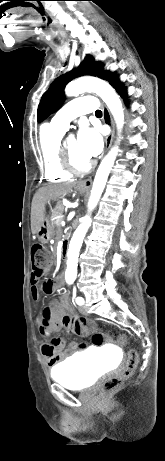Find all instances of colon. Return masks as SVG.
Returning a JSON list of instances; mask_svg holds the SVG:
<instances>
[{
  "instance_id": "obj_1",
  "label": "colon",
  "mask_w": 165,
  "mask_h": 461,
  "mask_svg": "<svg viewBox=\"0 0 165 461\" xmlns=\"http://www.w3.org/2000/svg\"><path fill=\"white\" fill-rule=\"evenodd\" d=\"M50 259L49 252L42 244H35L32 247V279L38 281L42 278L44 271L49 267ZM97 332V331H95ZM111 335L112 333L109 332ZM119 344L125 345L128 341L127 336L121 334L117 338ZM84 352V351H83ZM138 353L131 349L128 352L126 365L120 373L115 376L106 378L101 386L103 395H108L120 388L122 383L132 376L138 365Z\"/></svg>"
}]
</instances>
